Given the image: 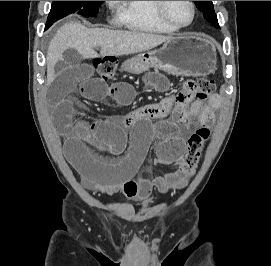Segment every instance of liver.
<instances>
[{"instance_id": "1", "label": "liver", "mask_w": 271, "mask_h": 266, "mask_svg": "<svg viewBox=\"0 0 271 266\" xmlns=\"http://www.w3.org/2000/svg\"><path fill=\"white\" fill-rule=\"evenodd\" d=\"M171 36L137 31L88 29L80 22H69L62 26L51 40L47 51V85L56 78L54 62L63 60L68 48L75 49L81 58L97 57L94 48L100 47L101 56H122L151 50Z\"/></svg>"}]
</instances>
